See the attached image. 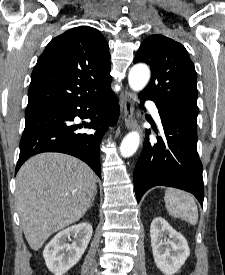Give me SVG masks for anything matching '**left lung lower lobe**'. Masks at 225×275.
I'll return each instance as SVG.
<instances>
[{"mask_svg": "<svg viewBox=\"0 0 225 275\" xmlns=\"http://www.w3.org/2000/svg\"><path fill=\"white\" fill-rule=\"evenodd\" d=\"M140 107L149 99L141 94ZM159 109L165 137L157 143L146 130L144 147L134 172L137 202L150 188L158 185L191 192L203 205L202 163L197 153V120L168 109Z\"/></svg>", "mask_w": 225, "mask_h": 275, "instance_id": "obj_1", "label": "left lung lower lobe"}]
</instances>
